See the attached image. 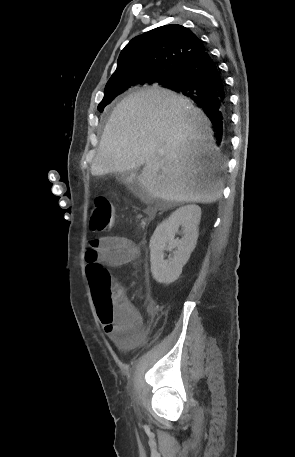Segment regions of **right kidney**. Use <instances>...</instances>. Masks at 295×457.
I'll use <instances>...</instances> for the list:
<instances>
[{"label": "right kidney", "mask_w": 295, "mask_h": 457, "mask_svg": "<svg viewBox=\"0 0 295 457\" xmlns=\"http://www.w3.org/2000/svg\"><path fill=\"white\" fill-rule=\"evenodd\" d=\"M200 219L201 208L197 205H186L178 208L157 226L149 245L151 272L157 282L170 284L179 278L196 246ZM179 227L182 229V238L176 240ZM173 249L174 256L164 260V251Z\"/></svg>", "instance_id": "ca27d5eb"}]
</instances>
